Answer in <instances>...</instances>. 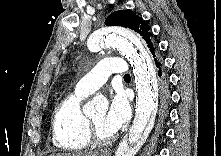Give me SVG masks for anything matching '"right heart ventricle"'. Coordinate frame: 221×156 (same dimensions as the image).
Returning a JSON list of instances; mask_svg holds the SVG:
<instances>
[{"mask_svg": "<svg viewBox=\"0 0 221 156\" xmlns=\"http://www.w3.org/2000/svg\"><path fill=\"white\" fill-rule=\"evenodd\" d=\"M87 95L75 90L58 105L52 121V140L63 151H80L90 142L86 135V116L82 102Z\"/></svg>", "mask_w": 221, "mask_h": 156, "instance_id": "obj_1", "label": "right heart ventricle"}]
</instances>
